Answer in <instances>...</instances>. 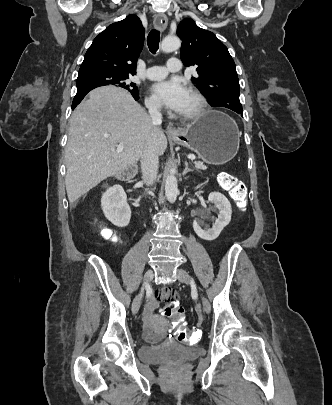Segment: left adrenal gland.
<instances>
[{
  "mask_svg": "<svg viewBox=\"0 0 332 405\" xmlns=\"http://www.w3.org/2000/svg\"><path fill=\"white\" fill-rule=\"evenodd\" d=\"M192 171L193 170L188 167L187 161H185V169H184L182 175L185 176L188 172H192Z\"/></svg>",
  "mask_w": 332,
  "mask_h": 405,
  "instance_id": "a2214340",
  "label": "left adrenal gland"
}]
</instances>
